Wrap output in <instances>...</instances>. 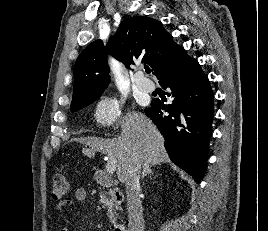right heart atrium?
<instances>
[{
    "instance_id": "d8ad5b80",
    "label": "right heart atrium",
    "mask_w": 268,
    "mask_h": 231,
    "mask_svg": "<svg viewBox=\"0 0 268 231\" xmlns=\"http://www.w3.org/2000/svg\"><path fill=\"white\" fill-rule=\"evenodd\" d=\"M121 112V101L116 97L100 98L93 110L98 125L104 128L112 127Z\"/></svg>"
}]
</instances>
